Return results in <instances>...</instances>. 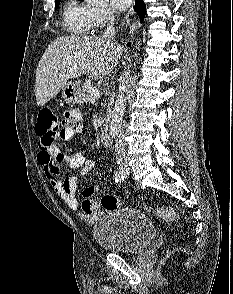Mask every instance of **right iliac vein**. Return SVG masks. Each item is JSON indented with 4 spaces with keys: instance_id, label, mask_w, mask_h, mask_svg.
I'll list each match as a JSON object with an SVG mask.
<instances>
[{
    "instance_id": "63e3f726",
    "label": "right iliac vein",
    "mask_w": 233,
    "mask_h": 294,
    "mask_svg": "<svg viewBox=\"0 0 233 294\" xmlns=\"http://www.w3.org/2000/svg\"><path fill=\"white\" fill-rule=\"evenodd\" d=\"M120 170H121V172H122L124 175L128 173V168H126V167H124V166H121V167H120Z\"/></svg>"
}]
</instances>
